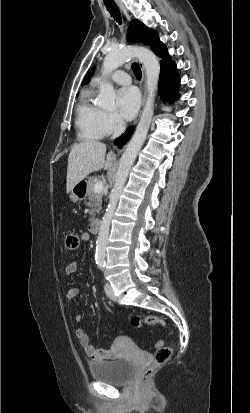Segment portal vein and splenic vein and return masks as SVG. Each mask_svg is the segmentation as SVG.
<instances>
[{"instance_id": "portal-vein-and-splenic-vein-1", "label": "portal vein and splenic vein", "mask_w": 250, "mask_h": 413, "mask_svg": "<svg viewBox=\"0 0 250 413\" xmlns=\"http://www.w3.org/2000/svg\"><path fill=\"white\" fill-rule=\"evenodd\" d=\"M103 182L102 181H96V183L94 184V192L99 193L103 190Z\"/></svg>"}]
</instances>
